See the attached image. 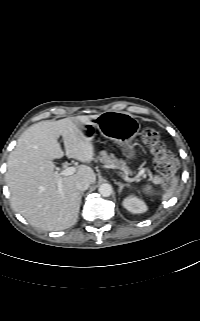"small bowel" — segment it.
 <instances>
[{"instance_id":"1","label":"small bowel","mask_w":200,"mask_h":321,"mask_svg":"<svg viewBox=\"0 0 200 321\" xmlns=\"http://www.w3.org/2000/svg\"><path fill=\"white\" fill-rule=\"evenodd\" d=\"M114 148H115V150L120 151V150H122L123 145H122V143L117 142V143H115Z\"/></svg>"}]
</instances>
